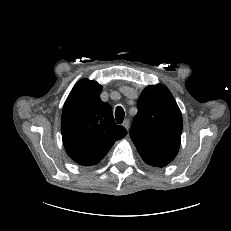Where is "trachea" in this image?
<instances>
[{"instance_id":"obj_1","label":"trachea","mask_w":231,"mask_h":231,"mask_svg":"<svg viewBox=\"0 0 231 231\" xmlns=\"http://www.w3.org/2000/svg\"><path fill=\"white\" fill-rule=\"evenodd\" d=\"M124 115H125V113H124L123 108L120 107V106H118L116 108V111H115V119H116V121H117L118 124H121L123 122Z\"/></svg>"}]
</instances>
